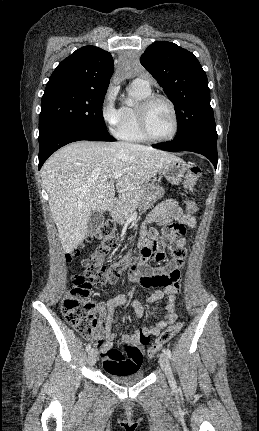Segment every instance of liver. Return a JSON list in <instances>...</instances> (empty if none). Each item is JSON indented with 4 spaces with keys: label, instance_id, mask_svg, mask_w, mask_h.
<instances>
[{
    "label": "liver",
    "instance_id": "liver-1",
    "mask_svg": "<svg viewBox=\"0 0 259 431\" xmlns=\"http://www.w3.org/2000/svg\"><path fill=\"white\" fill-rule=\"evenodd\" d=\"M178 159L126 142L77 141L55 152L44 163L41 178L64 253L86 238L91 212H104L113 203L115 186L110 179L115 172H124L117 187L129 192Z\"/></svg>",
    "mask_w": 259,
    "mask_h": 431
}]
</instances>
